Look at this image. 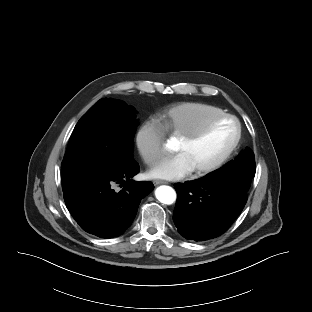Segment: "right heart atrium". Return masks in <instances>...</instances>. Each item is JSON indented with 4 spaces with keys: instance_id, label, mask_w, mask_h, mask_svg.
Wrapping results in <instances>:
<instances>
[{
    "instance_id": "right-heart-atrium-1",
    "label": "right heart atrium",
    "mask_w": 312,
    "mask_h": 312,
    "mask_svg": "<svg viewBox=\"0 0 312 312\" xmlns=\"http://www.w3.org/2000/svg\"><path fill=\"white\" fill-rule=\"evenodd\" d=\"M165 129L161 122L150 117L140 126L136 144L144 161L152 166L161 160L165 155Z\"/></svg>"
}]
</instances>
